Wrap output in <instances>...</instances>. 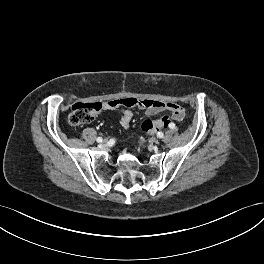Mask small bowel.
I'll return each mask as SVG.
<instances>
[{
    "mask_svg": "<svg viewBox=\"0 0 264 264\" xmlns=\"http://www.w3.org/2000/svg\"><path fill=\"white\" fill-rule=\"evenodd\" d=\"M135 103L133 106H137L144 111L146 115H155L162 111L168 110L172 113V118L176 121L182 120L184 117V109L176 104L171 102H161L150 99L139 100L132 98ZM132 107V106H130ZM133 118V112L130 109H124L122 111V116L120 119V124L123 128H128Z\"/></svg>",
    "mask_w": 264,
    "mask_h": 264,
    "instance_id": "c3829d8e",
    "label": "small bowel"
}]
</instances>
